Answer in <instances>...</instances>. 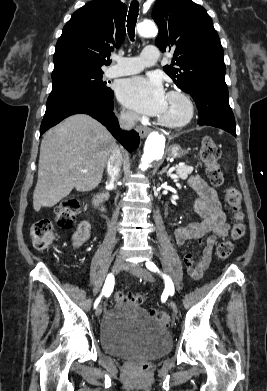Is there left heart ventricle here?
Listing matches in <instances>:
<instances>
[{
    "label": "left heart ventricle",
    "mask_w": 267,
    "mask_h": 391,
    "mask_svg": "<svg viewBox=\"0 0 267 391\" xmlns=\"http://www.w3.org/2000/svg\"><path fill=\"white\" fill-rule=\"evenodd\" d=\"M185 111V106L180 99L167 96L165 106L159 116L168 120L176 121L183 118Z\"/></svg>",
    "instance_id": "1"
}]
</instances>
